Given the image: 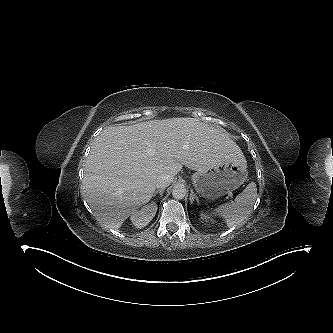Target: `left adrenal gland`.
<instances>
[{
    "label": "left adrenal gland",
    "mask_w": 333,
    "mask_h": 333,
    "mask_svg": "<svg viewBox=\"0 0 333 333\" xmlns=\"http://www.w3.org/2000/svg\"><path fill=\"white\" fill-rule=\"evenodd\" d=\"M190 203L193 204L194 203V200H196L197 204H199V199L198 197L194 194L193 190H191V193H190Z\"/></svg>",
    "instance_id": "obj_1"
}]
</instances>
